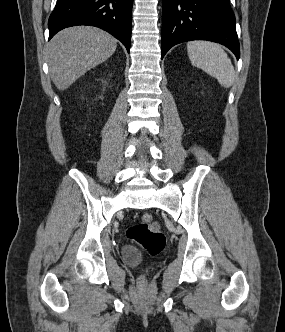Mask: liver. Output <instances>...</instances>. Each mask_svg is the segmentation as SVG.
<instances>
[{
  "instance_id": "6515ba94",
  "label": "liver",
  "mask_w": 285,
  "mask_h": 332,
  "mask_svg": "<svg viewBox=\"0 0 285 332\" xmlns=\"http://www.w3.org/2000/svg\"><path fill=\"white\" fill-rule=\"evenodd\" d=\"M117 40L91 26H75L57 33L47 47L49 72L56 87L63 91L87 71L113 55Z\"/></svg>"
}]
</instances>
